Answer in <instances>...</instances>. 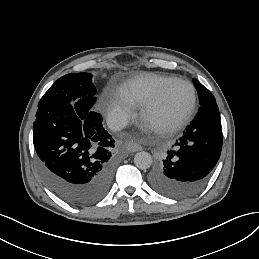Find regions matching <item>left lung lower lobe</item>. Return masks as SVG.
<instances>
[{
  "mask_svg": "<svg viewBox=\"0 0 259 259\" xmlns=\"http://www.w3.org/2000/svg\"><path fill=\"white\" fill-rule=\"evenodd\" d=\"M222 126L216 102L202 105L196 118L149 175L151 188L167 197L183 199L208 182L222 150Z\"/></svg>",
  "mask_w": 259,
  "mask_h": 259,
  "instance_id": "obj_1",
  "label": "left lung lower lobe"
}]
</instances>
